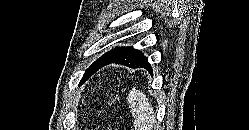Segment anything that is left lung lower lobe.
<instances>
[{
    "label": "left lung lower lobe",
    "mask_w": 249,
    "mask_h": 130,
    "mask_svg": "<svg viewBox=\"0 0 249 130\" xmlns=\"http://www.w3.org/2000/svg\"><path fill=\"white\" fill-rule=\"evenodd\" d=\"M111 63L125 65L130 68H146L151 74L153 73L147 57L133 47L124 48L117 56L107 60L100 68Z\"/></svg>",
    "instance_id": "left-lung-lower-lobe-1"
}]
</instances>
